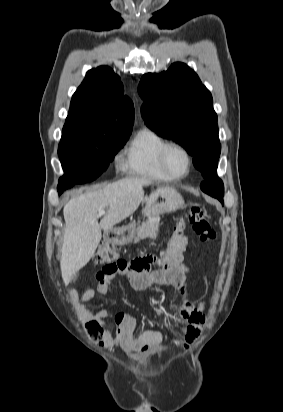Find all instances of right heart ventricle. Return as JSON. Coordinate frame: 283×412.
Instances as JSON below:
<instances>
[{"mask_svg": "<svg viewBox=\"0 0 283 412\" xmlns=\"http://www.w3.org/2000/svg\"><path fill=\"white\" fill-rule=\"evenodd\" d=\"M170 142L163 134L150 127H143L129 142L122 168L129 174L170 180L159 166V155L162 148Z\"/></svg>", "mask_w": 283, "mask_h": 412, "instance_id": "e07e8e85", "label": "right heart ventricle"}]
</instances>
